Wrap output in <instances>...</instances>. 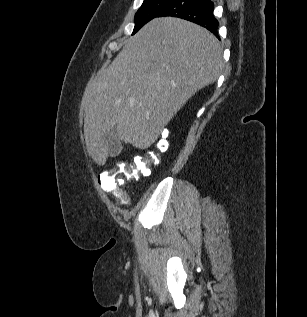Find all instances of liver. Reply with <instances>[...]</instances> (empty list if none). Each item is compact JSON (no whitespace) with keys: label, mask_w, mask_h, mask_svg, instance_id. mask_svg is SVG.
<instances>
[{"label":"liver","mask_w":307,"mask_h":317,"mask_svg":"<svg viewBox=\"0 0 307 317\" xmlns=\"http://www.w3.org/2000/svg\"><path fill=\"white\" fill-rule=\"evenodd\" d=\"M222 54L217 38L189 21L146 24L85 89L84 136L93 160L105 164L113 128L125 143L150 147L185 103L218 79Z\"/></svg>","instance_id":"liver-1"}]
</instances>
